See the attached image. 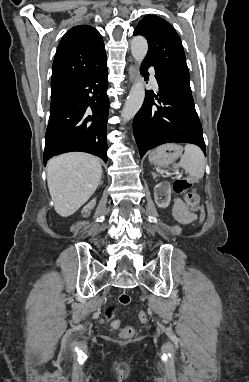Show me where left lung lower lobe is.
<instances>
[{
  "label": "left lung lower lobe",
  "mask_w": 249,
  "mask_h": 382,
  "mask_svg": "<svg viewBox=\"0 0 249 382\" xmlns=\"http://www.w3.org/2000/svg\"><path fill=\"white\" fill-rule=\"evenodd\" d=\"M150 66H154L153 63L145 59L141 68L143 76H148ZM155 77L159 93L146 91L144 103L133 120V133L141 158L149 149L170 142L195 144L206 154L191 91L158 71Z\"/></svg>",
  "instance_id": "1"
}]
</instances>
